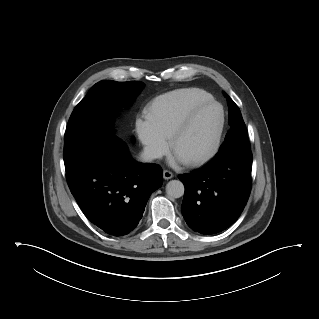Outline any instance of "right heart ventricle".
Wrapping results in <instances>:
<instances>
[{
    "label": "right heart ventricle",
    "instance_id": "e07e8e85",
    "mask_svg": "<svg viewBox=\"0 0 319 319\" xmlns=\"http://www.w3.org/2000/svg\"><path fill=\"white\" fill-rule=\"evenodd\" d=\"M208 92L200 88H183L155 97L147 106L146 119L165 137L186 117L198 103L211 99Z\"/></svg>",
    "mask_w": 319,
    "mask_h": 319
}]
</instances>
